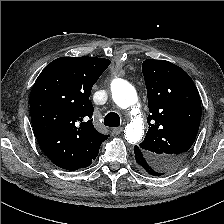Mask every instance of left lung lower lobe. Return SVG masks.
Segmentation results:
<instances>
[{
  "mask_svg": "<svg viewBox=\"0 0 224 224\" xmlns=\"http://www.w3.org/2000/svg\"><path fill=\"white\" fill-rule=\"evenodd\" d=\"M134 153H135L136 166L138 170L145 175L157 176V172L147 162L143 154L138 149H134Z\"/></svg>",
  "mask_w": 224,
  "mask_h": 224,
  "instance_id": "obj_1",
  "label": "left lung lower lobe"
}]
</instances>
